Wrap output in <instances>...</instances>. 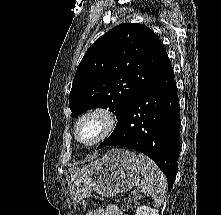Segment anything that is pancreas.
I'll list each match as a JSON object with an SVG mask.
<instances>
[{"instance_id":"cf45deb5","label":"pancreas","mask_w":221,"mask_h":215,"mask_svg":"<svg viewBox=\"0 0 221 215\" xmlns=\"http://www.w3.org/2000/svg\"><path fill=\"white\" fill-rule=\"evenodd\" d=\"M138 200H139L138 197H135V198L129 199L128 202H127V206H128V207H132V206H134L133 204H137V203H138Z\"/></svg>"}]
</instances>
